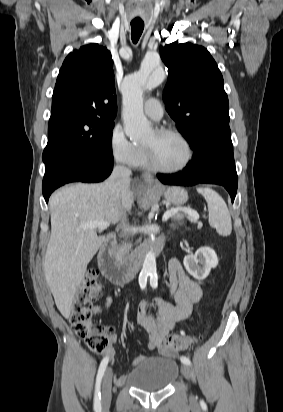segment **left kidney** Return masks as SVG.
Listing matches in <instances>:
<instances>
[{"instance_id":"1","label":"left kidney","mask_w":283,"mask_h":412,"mask_svg":"<svg viewBox=\"0 0 283 412\" xmlns=\"http://www.w3.org/2000/svg\"><path fill=\"white\" fill-rule=\"evenodd\" d=\"M183 264L190 275L197 280H204L212 268L218 265L215 251L210 247H201L195 254L184 257Z\"/></svg>"}]
</instances>
